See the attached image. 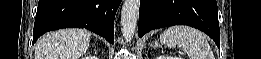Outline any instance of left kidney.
Returning <instances> with one entry per match:
<instances>
[{
    "label": "left kidney",
    "mask_w": 261,
    "mask_h": 59,
    "mask_svg": "<svg viewBox=\"0 0 261 59\" xmlns=\"http://www.w3.org/2000/svg\"><path fill=\"white\" fill-rule=\"evenodd\" d=\"M157 59H181L179 57H171V56H158Z\"/></svg>",
    "instance_id": "5707ae66"
}]
</instances>
